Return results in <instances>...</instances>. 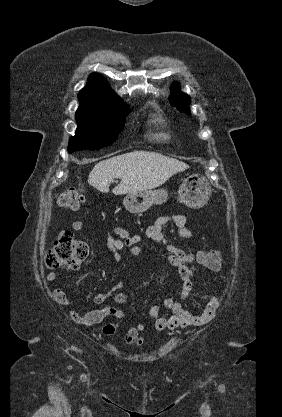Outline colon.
I'll use <instances>...</instances> for the list:
<instances>
[{
    "instance_id": "5ec220e1",
    "label": "colon",
    "mask_w": 282,
    "mask_h": 417,
    "mask_svg": "<svg viewBox=\"0 0 282 417\" xmlns=\"http://www.w3.org/2000/svg\"><path fill=\"white\" fill-rule=\"evenodd\" d=\"M57 201L60 206L66 209H74L81 202V193L75 188H69L58 194ZM87 256V245L79 240H75L65 231L54 240L52 246L47 251L45 263L49 269L59 270L77 267ZM196 260L203 267L212 271L218 270L221 265V256L215 250L199 252Z\"/></svg>"
}]
</instances>
